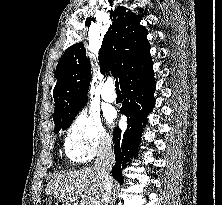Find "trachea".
Returning a JSON list of instances; mask_svg holds the SVG:
<instances>
[{"instance_id":"3493384b","label":"trachea","mask_w":222,"mask_h":205,"mask_svg":"<svg viewBox=\"0 0 222 205\" xmlns=\"http://www.w3.org/2000/svg\"><path fill=\"white\" fill-rule=\"evenodd\" d=\"M115 88H116V90H119V82H118V80L115 81Z\"/></svg>"}]
</instances>
